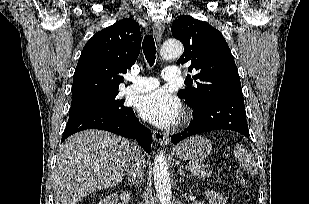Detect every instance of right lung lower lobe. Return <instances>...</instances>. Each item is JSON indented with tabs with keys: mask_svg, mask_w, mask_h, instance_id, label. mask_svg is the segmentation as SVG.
Listing matches in <instances>:
<instances>
[{
	"mask_svg": "<svg viewBox=\"0 0 309 204\" xmlns=\"http://www.w3.org/2000/svg\"><path fill=\"white\" fill-rule=\"evenodd\" d=\"M85 129L106 130L123 137L132 138L147 153H150L151 131L139 122L132 108L122 116L99 111L70 115L62 141L70 135Z\"/></svg>",
	"mask_w": 309,
	"mask_h": 204,
	"instance_id": "obj_1",
	"label": "right lung lower lobe"
}]
</instances>
